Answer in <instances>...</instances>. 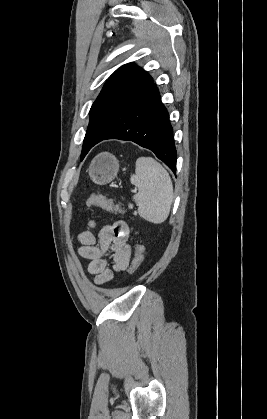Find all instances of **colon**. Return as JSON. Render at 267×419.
Wrapping results in <instances>:
<instances>
[{
  "label": "colon",
  "mask_w": 267,
  "mask_h": 419,
  "mask_svg": "<svg viewBox=\"0 0 267 419\" xmlns=\"http://www.w3.org/2000/svg\"><path fill=\"white\" fill-rule=\"evenodd\" d=\"M86 205L89 207H99L106 211L123 214L125 213L124 209L112 199L107 198L104 195L93 194L86 200ZM144 259V247L140 243H136L134 257L129 268V273L133 274L140 267Z\"/></svg>",
  "instance_id": "1"
}]
</instances>
